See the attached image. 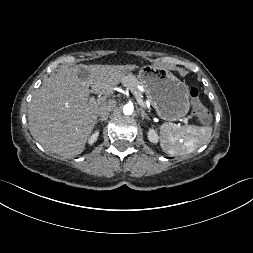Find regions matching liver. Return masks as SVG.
I'll list each match as a JSON object with an SVG mask.
<instances>
[{
    "mask_svg": "<svg viewBox=\"0 0 253 253\" xmlns=\"http://www.w3.org/2000/svg\"><path fill=\"white\" fill-rule=\"evenodd\" d=\"M135 65L64 66L47 78L28 108L29 130L47 151L62 155L81 154L96 124L101 106L110 98ZM90 93L103 95L97 101ZM109 98V100H106Z\"/></svg>",
    "mask_w": 253,
    "mask_h": 253,
    "instance_id": "1",
    "label": "liver"
}]
</instances>
